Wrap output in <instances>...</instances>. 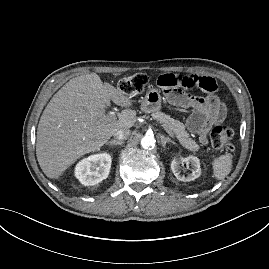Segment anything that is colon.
<instances>
[{"mask_svg": "<svg viewBox=\"0 0 269 269\" xmlns=\"http://www.w3.org/2000/svg\"><path fill=\"white\" fill-rule=\"evenodd\" d=\"M147 82L148 77L145 74H135L120 80L119 90L126 95L141 94L144 91ZM233 138L234 132L232 128L227 125H218L214 127L210 133L211 145L214 149L218 150H232Z\"/></svg>", "mask_w": 269, "mask_h": 269, "instance_id": "1", "label": "colon"}]
</instances>
